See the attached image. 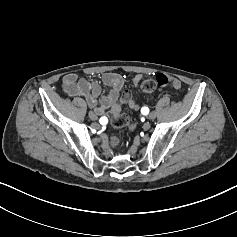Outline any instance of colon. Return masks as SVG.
Instances as JSON below:
<instances>
[{
	"mask_svg": "<svg viewBox=\"0 0 237 237\" xmlns=\"http://www.w3.org/2000/svg\"><path fill=\"white\" fill-rule=\"evenodd\" d=\"M169 82L173 85V87H180V82L176 79H170L167 75L158 73L155 76V79H147L141 82L140 89L143 93H151L156 85L165 86ZM110 121L111 124L116 128H128L129 130H133L135 128V124L131 122L129 117L121 112V107L117 105L111 112H110ZM120 144V138L117 136H112L110 138V145L112 147H117Z\"/></svg>",
	"mask_w": 237,
	"mask_h": 237,
	"instance_id": "1",
	"label": "colon"
}]
</instances>
